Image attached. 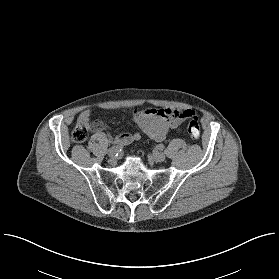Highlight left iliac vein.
Returning <instances> with one entry per match:
<instances>
[{"instance_id": "left-iliac-vein-1", "label": "left iliac vein", "mask_w": 279, "mask_h": 279, "mask_svg": "<svg viewBox=\"0 0 279 279\" xmlns=\"http://www.w3.org/2000/svg\"><path fill=\"white\" fill-rule=\"evenodd\" d=\"M152 156H153L154 160L157 162H163L166 158L165 154L162 152L154 153Z\"/></svg>"}]
</instances>
